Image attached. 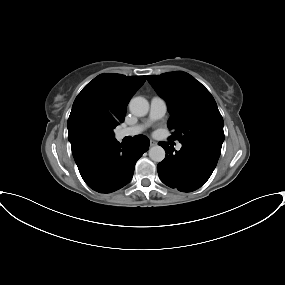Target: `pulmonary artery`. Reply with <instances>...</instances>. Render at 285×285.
Masks as SVG:
<instances>
[{
	"label": "pulmonary artery",
	"mask_w": 285,
	"mask_h": 285,
	"mask_svg": "<svg viewBox=\"0 0 285 285\" xmlns=\"http://www.w3.org/2000/svg\"><path fill=\"white\" fill-rule=\"evenodd\" d=\"M167 111V103L166 101L158 96H155L150 101V111H149V118L143 124H138L131 127H126L118 132L119 138H124L127 136H135L141 133L151 122L161 119ZM182 148V144L178 143L176 145V149L180 150Z\"/></svg>",
	"instance_id": "e3ab8cb5"
}]
</instances>
